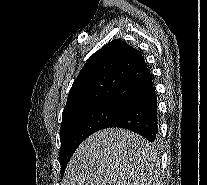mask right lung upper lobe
<instances>
[{"label": "right lung upper lobe", "instance_id": "1", "mask_svg": "<svg viewBox=\"0 0 207 185\" xmlns=\"http://www.w3.org/2000/svg\"><path fill=\"white\" fill-rule=\"evenodd\" d=\"M152 85L140 52L121 40H113L85 63L73 82L62 119L100 105L123 108Z\"/></svg>", "mask_w": 207, "mask_h": 185}]
</instances>
